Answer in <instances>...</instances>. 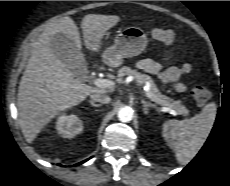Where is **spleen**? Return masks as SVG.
I'll list each match as a JSON object with an SVG mask.
<instances>
[{
    "label": "spleen",
    "mask_w": 230,
    "mask_h": 186,
    "mask_svg": "<svg viewBox=\"0 0 230 186\" xmlns=\"http://www.w3.org/2000/svg\"><path fill=\"white\" fill-rule=\"evenodd\" d=\"M215 118L216 104L211 102L190 119L164 122L162 136L180 164H188L196 156L208 138Z\"/></svg>",
    "instance_id": "3e777b00"
}]
</instances>
